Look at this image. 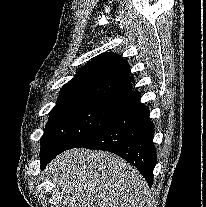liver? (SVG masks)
<instances>
[{"label":"liver","instance_id":"6515ba94","mask_svg":"<svg viewBox=\"0 0 206 207\" xmlns=\"http://www.w3.org/2000/svg\"><path fill=\"white\" fill-rule=\"evenodd\" d=\"M48 177L60 207H143L148 184L131 164L105 151L73 148L55 157Z\"/></svg>","mask_w":206,"mask_h":207}]
</instances>
